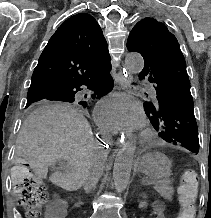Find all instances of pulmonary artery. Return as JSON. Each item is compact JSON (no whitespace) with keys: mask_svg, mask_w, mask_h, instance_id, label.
<instances>
[{"mask_svg":"<svg viewBox=\"0 0 211 218\" xmlns=\"http://www.w3.org/2000/svg\"><path fill=\"white\" fill-rule=\"evenodd\" d=\"M137 79H141V76H137ZM137 85H144V90L146 91L147 95H158L159 91L155 84H149L148 80H137Z\"/></svg>","mask_w":211,"mask_h":218,"instance_id":"1","label":"pulmonary artery"}]
</instances>
